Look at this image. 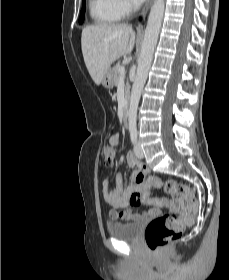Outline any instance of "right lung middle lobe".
I'll return each instance as SVG.
<instances>
[{
    "mask_svg": "<svg viewBox=\"0 0 229 280\" xmlns=\"http://www.w3.org/2000/svg\"><path fill=\"white\" fill-rule=\"evenodd\" d=\"M85 8H86V0H83V1H82L81 16H80V19H79V23H80V24L84 21Z\"/></svg>",
    "mask_w": 229,
    "mask_h": 280,
    "instance_id": "dd1d6c3e",
    "label": "right lung middle lobe"
}]
</instances>
